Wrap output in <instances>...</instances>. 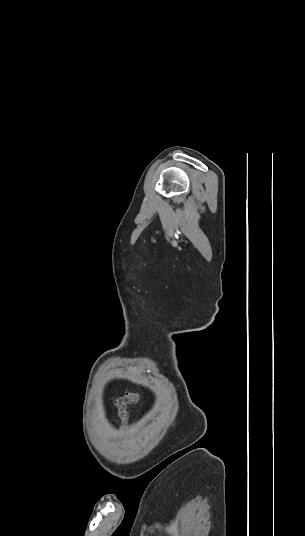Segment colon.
Here are the masks:
<instances>
[{
  "mask_svg": "<svg viewBox=\"0 0 305 536\" xmlns=\"http://www.w3.org/2000/svg\"><path fill=\"white\" fill-rule=\"evenodd\" d=\"M141 397L140 392L130 390L126 391L123 395L115 399V406L117 408L118 418L120 425L124 426L127 419V406L131 403H135Z\"/></svg>",
  "mask_w": 305,
  "mask_h": 536,
  "instance_id": "1",
  "label": "colon"
}]
</instances>
